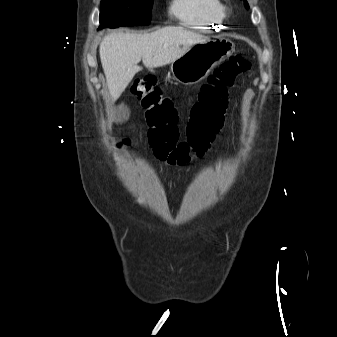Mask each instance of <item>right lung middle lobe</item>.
Instances as JSON below:
<instances>
[{"mask_svg":"<svg viewBox=\"0 0 337 337\" xmlns=\"http://www.w3.org/2000/svg\"><path fill=\"white\" fill-rule=\"evenodd\" d=\"M152 3L153 0H102L98 29L148 25Z\"/></svg>","mask_w":337,"mask_h":337,"instance_id":"right-lung-middle-lobe-1","label":"right lung middle lobe"}]
</instances>
